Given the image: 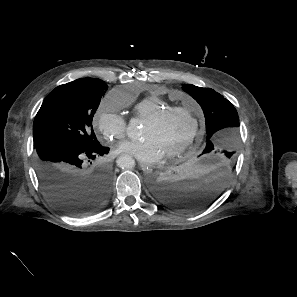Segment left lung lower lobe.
Masks as SVG:
<instances>
[{
  "instance_id": "1",
  "label": "left lung lower lobe",
  "mask_w": 297,
  "mask_h": 297,
  "mask_svg": "<svg viewBox=\"0 0 297 297\" xmlns=\"http://www.w3.org/2000/svg\"><path fill=\"white\" fill-rule=\"evenodd\" d=\"M234 171V161L218 154L202 153L179 166L174 175H159L153 183L156 197L181 212L210 206L225 190Z\"/></svg>"
}]
</instances>
